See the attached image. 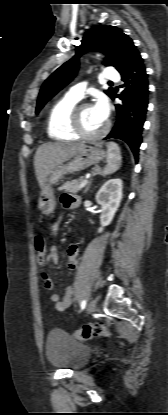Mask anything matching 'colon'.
<instances>
[{
  "label": "colon",
  "instance_id": "colon-1",
  "mask_svg": "<svg viewBox=\"0 0 168 415\" xmlns=\"http://www.w3.org/2000/svg\"><path fill=\"white\" fill-rule=\"evenodd\" d=\"M34 248L36 250V264L38 265L37 272L41 273L48 269L47 262V250L46 240L42 235H37L34 238ZM74 336L81 340H90L96 337L109 338L112 336V332L109 328L101 323H92L83 326L81 329L74 333Z\"/></svg>",
  "mask_w": 168,
  "mask_h": 415
}]
</instances>
